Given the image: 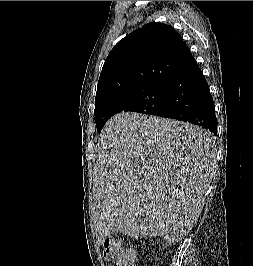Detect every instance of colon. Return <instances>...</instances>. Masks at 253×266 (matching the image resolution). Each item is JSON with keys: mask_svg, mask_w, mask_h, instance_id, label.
<instances>
[{"mask_svg": "<svg viewBox=\"0 0 253 266\" xmlns=\"http://www.w3.org/2000/svg\"><path fill=\"white\" fill-rule=\"evenodd\" d=\"M103 257L113 266H136L132 252L125 248L118 239L107 238L103 243Z\"/></svg>", "mask_w": 253, "mask_h": 266, "instance_id": "obj_1", "label": "colon"}]
</instances>
